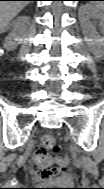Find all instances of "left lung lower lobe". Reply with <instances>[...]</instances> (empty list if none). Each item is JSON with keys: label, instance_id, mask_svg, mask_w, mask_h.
I'll list each match as a JSON object with an SVG mask.
<instances>
[{"label": "left lung lower lobe", "instance_id": "1", "mask_svg": "<svg viewBox=\"0 0 104 189\" xmlns=\"http://www.w3.org/2000/svg\"><path fill=\"white\" fill-rule=\"evenodd\" d=\"M78 1H92V0H78Z\"/></svg>", "mask_w": 104, "mask_h": 189}]
</instances>
